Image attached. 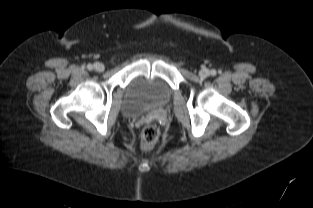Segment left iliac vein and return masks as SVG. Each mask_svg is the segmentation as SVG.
Listing matches in <instances>:
<instances>
[{
	"instance_id": "obj_1",
	"label": "left iliac vein",
	"mask_w": 313,
	"mask_h": 208,
	"mask_svg": "<svg viewBox=\"0 0 313 208\" xmlns=\"http://www.w3.org/2000/svg\"><path fill=\"white\" fill-rule=\"evenodd\" d=\"M200 77L205 78L208 77L210 75V72L208 69H202L199 72Z\"/></svg>"
}]
</instances>
